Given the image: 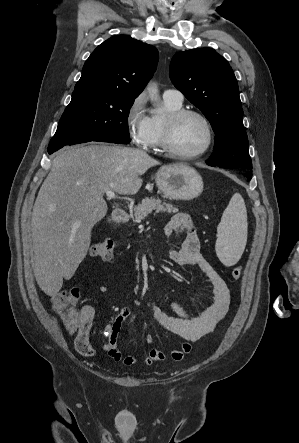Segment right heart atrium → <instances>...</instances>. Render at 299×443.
Listing matches in <instances>:
<instances>
[{"mask_svg":"<svg viewBox=\"0 0 299 443\" xmlns=\"http://www.w3.org/2000/svg\"><path fill=\"white\" fill-rule=\"evenodd\" d=\"M125 126L130 140L144 147L150 134V117L146 113L145 96H136L126 109Z\"/></svg>","mask_w":299,"mask_h":443,"instance_id":"right-heart-atrium-1","label":"right heart atrium"}]
</instances>
